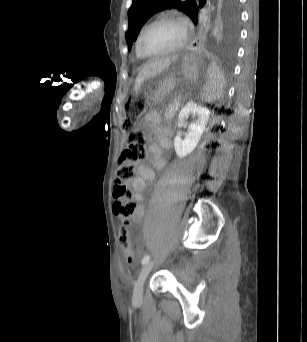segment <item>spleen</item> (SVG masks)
Wrapping results in <instances>:
<instances>
[{
  "label": "spleen",
  "mask_w": 307,
  "mask_h": 342,
  "mask_svg": "<svg viewBox=\"0 0 307 342\" xmlns=\"http://www.w3.org/2000/svg\"><path fill=\"white\" fill-rule=\"evenodd\" d=\"M210 62V65L207 66L208 83H204V90H206L204 98L205 100H216L217 95H221L222 93L226 78L222 77L223 72L214 63L215 59L211 58Z\"/></svg>",
  "instance_id": "obj_1"
}]
</instances>
